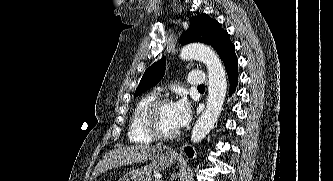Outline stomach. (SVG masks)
Returning a JSON list of instances; mask_svg holds the SVG:
<instances>
[{
	"label": "stomach",
	"mask_w": 333,
	"mask_h": 181,
	"mask_svg": "<svg viewBox=\"0 0 333 181\" xmlns=\"http://www.w3.org/2000/svg\"><path fill=\"white\" fill-rule=\"evenodd\" d=\"M176 158V155L170 152L157 150L152 153V161L149 164L131 170L118 181H152L154 174L170 167Z\"/></svg>",
	"instance_id": "1"
}]
</instances>
